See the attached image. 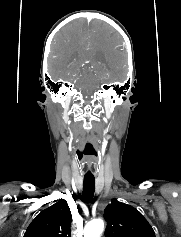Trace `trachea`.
I'll return each instance as SVG.
<instances>
[{
  "mask_svg": "<svg viewBox=\"0 0 181 237\" xmlns=\"http://www.w3.org/2000/svg\"><path fill=\"white\" fill-rule=\"evenodd\" d=\"M94 178H84L83 183V199L85 202H90L94 195Z\"/></svg>",
  "mask_w": 181,
  "mask_h": 237,
  "instance_id": "obj_1",
  "label": "trachea"
}]
</instances>
